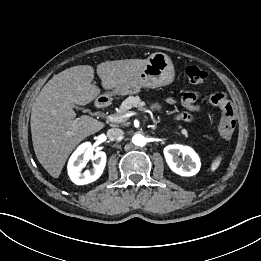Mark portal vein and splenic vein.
I'll return each instance as SVG.
<instances>
[{
  "instance_id": "1",
  "label": "portal vein and splenic vein",
  "mask_w": 261,
  "mask_h": 261,
  "mask_svg": "<svg viewBox=\"0 0 261 261\" xmlns=\"http://www.w3.org/2000/svg\"><path fill=\"white\" fill-rule=\"evenodd\" d=\"M133 115H137V112H128L126 113L125 115H122V116H118L116 114H111V115H108L107 116V120L109 122H113V123H122L124 122L125 120H127V118L133 116Z\"/></svg>"
}]
</instances>
